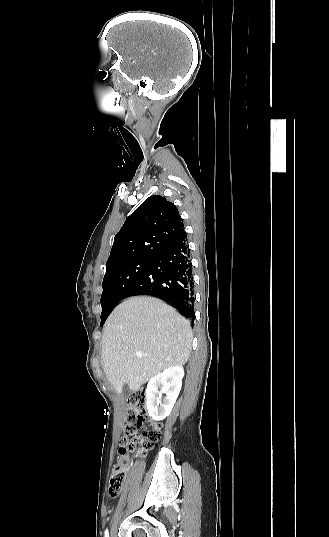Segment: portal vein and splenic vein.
<instances>
[{
    "label": "portal vein and splenic vein",
    "mask_w": 329,
    "mask_h": 537,
    "mask_svg": "<svg viewBox=\"0 0 329 537\" xmlns=\"http://www.w3.org/2000/svg\"><path fill=\"white\" fill-rule=\"evenodd\" d=\"M137 357L142 358L143 355L141 353H136Z\"/></svg>",
    "instance_id": "18ae733b"
}]
</instances>
